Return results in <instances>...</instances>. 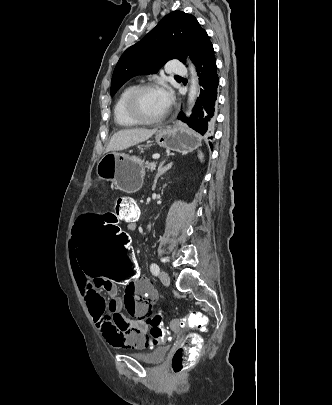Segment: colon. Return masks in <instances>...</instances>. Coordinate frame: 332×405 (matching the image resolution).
Listing matches in <instances>:
<instances>
[{"mask_svg":"<svg viewBox=\"0 0 332 405\" xmlns=\"http://www.w3.org/2000/svg\"><path fill=\"white\" fill-rule=\"evenodd\" d=\"M136 210L135 202L121 195L115 204L117 220H100V211H86V220H75L76 262H80L83 275H100L101 281H116L117 287H132L133 281L139 280V263L133 259V234L119 225V221H126ZM166 312L161 307L146 316L145 323L150 325L151 330L141 338L149 339L148 347L166 343L170 339L169 326L163 323ZM210 321V315L191 312L180 317L179 325L205 331ZM201 340L200 335L192 333L174 349L171 369L175 374L182 373L194 363Z\"/></svg>","mask_w":332,"mask_h":405,"instance_id":"obj_1","label":"colon"}]
</instances>
